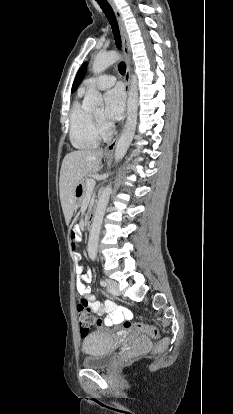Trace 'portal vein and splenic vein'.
I'll return each mask as SVG.
<instances>
[{
  "label": "portal vein and splenic vein",
  "mask_w": 233,
  "mask_h": 414,
  "mask_svg": "<svg viewBox=\"0 0 233 414\" xmlns=\"http://www.w3.org/2000/svg\"><path fill=\"white\" fill-rule=\"evenodd\" d=\"M95 180L94 179H89L88 181H87V185H88V188L89 189H93L94 187H95Z\"/></svg>",
  "instance_id": "1"
}]
</instances>
